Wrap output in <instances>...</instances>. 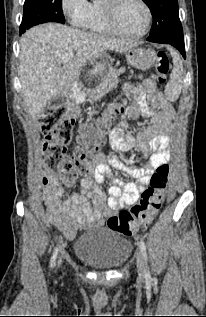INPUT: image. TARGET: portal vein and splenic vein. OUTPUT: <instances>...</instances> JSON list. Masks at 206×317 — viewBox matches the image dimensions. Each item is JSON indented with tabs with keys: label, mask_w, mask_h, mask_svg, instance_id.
<instances>
[{
	"label": "portal vein and splenic vein",
	"mask_w": 206,
	"mask_h": 317,
	"mask_svg": "<svg viewBox=\"0 0 206 317\" xmlns=\"http://www.w3.org/2000/svg\"><path fill=\"white\" fill-rule=\"evenodd\" d=\"M74 55L72 52L66 53L61 57V63H67L73 59Z\"/></svg>",
	"instance_id": "18ae733b"
}]
</instances>
